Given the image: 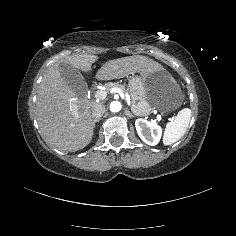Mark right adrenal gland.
Listing matches in <instances>:
<instances>
[{"label": "right adrenal gland", "instance_id": "obj_1", "mask_svg": "<svg viewBox=\"0 0 236 236\" xmlns=\"http://www.w3.org/2000/svg\"><path fill=\"white\" fill-rule=\"evenodd\" d=\"M100 120H101V118H99V119L93 121L94 127H95V123H96V122H99Z\"/></svg>", "mask_w": 236, "mask_h": 236}]
</instances>
